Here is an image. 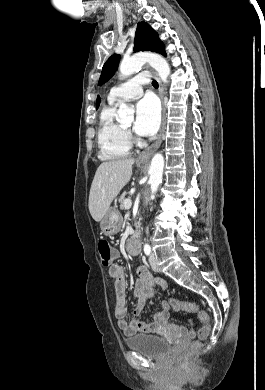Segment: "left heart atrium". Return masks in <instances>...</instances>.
Returning a JSON list of instances; mask_svg holds the SVG:
<instances>
[{
  "label": "left heart atrium",
  "mask_w": 265,
  "mask_h": 390,
  "mask_svg": "<svg viewBox=\"0 0 265 390\" xmlns=\"http://www.w3.org/2000/svg\"><path fill=\"white\" fill-rule=\"evenodd\" d=\"M160 125V109L157 102L146 97L140 100L136 106V120L134 130L141 136L155 134Z\"/></svg>",
  "instance_id": "1"
}]
</instances>
